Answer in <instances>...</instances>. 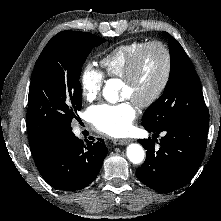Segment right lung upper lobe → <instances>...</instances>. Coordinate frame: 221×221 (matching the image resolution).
<instances>
[{
	"label": "right lung upper lobe",
	"instance_id": "cb5924a9",
	"mask_svg": "<svg viewBox=\"0 0 221 221\" xmlns=\"http://www.w3.org/2000/svg\"><path fill=\"white\" fill-rule=\"evenodd\" d=\"M50 139V138H49ZM49 139L44 140L42 143L37 144V145H31L30 149L33 155L38 154L42 148L46 145V143L49 141Z\"/></svg>",
	"mask_w": 221,
	"mask_h": 221
}]
</instances>
